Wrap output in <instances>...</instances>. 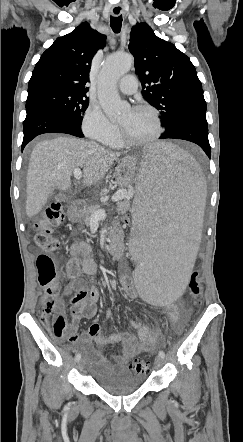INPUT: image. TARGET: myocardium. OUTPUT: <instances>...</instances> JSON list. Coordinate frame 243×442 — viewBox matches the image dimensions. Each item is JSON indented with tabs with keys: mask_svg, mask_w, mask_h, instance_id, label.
Segmentation results:
<instances>
[{
	"mask_svg": "<svg viewBox=\"0 0 243 442\" xmlns=\"http://www.w3.org/2000/svg\"><path fill=\"white\" fill-rule=\"evenodd\" d=\"M132 110L151 112L155 118V121H156V132L154 133V135H152L149 138H146L143 140H132L125 134L122 127L119 126V138H120V141L122 142V144L127 145V146H132V147H140V146H145V145L151 144V143L155 142L156 140H158L163 133V123H162V119L159 114V111L155 107L148 105V104L136 105L132 108Z\"/></svg>",
	"mask_w": 243,
	"mask_h": 442,
	"instance_id": "obj_1",
	"label": "myocardium"
}]
</instances>
